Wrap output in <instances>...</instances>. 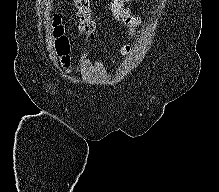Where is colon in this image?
<instances>
[{"label":"colon","mask_w":219,"mask_h":192,"mask_svg":"<svg viewBox=\"0 0 219 192\" xmlns=\"http://www.w3.org/2000/svg\"><path fill=\"white\" fill-rule=\"evenodd\" d=\"M75 5H78L82 8H87L89 4V0H74ZM53 36L55 39V49L60 57L61 63L64 67H68L70 64V41L67 36L65 27L60 21V18L58 16L53 17ZM83 25L85 29H91L94 27L93 21L90 19H84ZM129 46L126 45L123 47L124 52L129 51Z\"/></svg>","instance_id":"colon-1"}]
</instances>
